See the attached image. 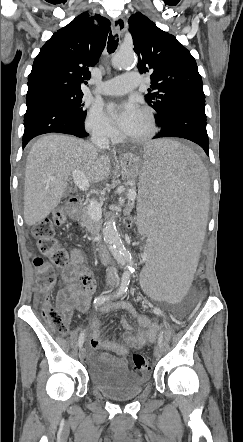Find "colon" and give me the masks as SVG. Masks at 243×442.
Listing matches in <instances>:
<instances>
[{
    "label": "colon",
    "instance_id": "obj_1",
    "mask_svg": "<svg viewBox=\"0 0 243 442\" xmlns=\"http://www.w3.org/2000/svg\"><path fill=\"white\" fill-rule=\"evenodd\" d=\"M123 219L124 227L126 229H131V221L133 219L132 214H124ZM65 221V212L62 208H59L54 212L51 220L40 221L33 229L38 250L42 254L50 257L52 263L56 266H64L68 263L67 252L59 245L54 236V226L63 225ZM204 260H207V257H204ZM33 263L37 271V290L38 293L43 296V316L58 332L66 334L68 332L66 314L63 310L53 305L50 297V292L56 283L55 271L53 267L41 257H35ZM205 268V261L197 263L194 273L195 278H202ZM194 283H197V280H194ZM150 363V356H144L141 353H135L133 355V367L139 372L145 373L150 371Z\"/></svg>",
    "mask_w": 243,
    "mask_h": 442
}]
</instances>
